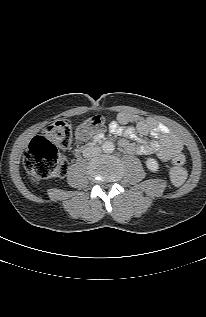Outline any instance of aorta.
Returning a JSON list of instances; mask_svg holds the SVG:
<instances>
[{"label": "aorta", "mask_w": 206, "mask_h": 317, "mask_svg": "<svg viewBox=\"0 0 206 317\" xmlns=\"http://www.w3.org/2000/svg\"><path fill=\"white\" fill-rule=\"evenodd\" d=\"M114 149H115V145L113 144V142L107 141L103 143L102 145V150L105 153H112Z\"/></svg>", "instance_id": "obj_1"}]
</instances>
